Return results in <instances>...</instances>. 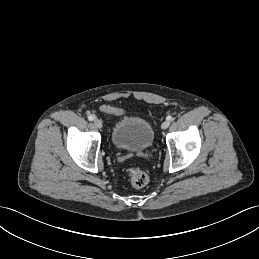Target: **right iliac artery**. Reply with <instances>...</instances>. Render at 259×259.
<instances>
[{
	"label": "right iliac artery",
	"mask_w": 259,
	"mask_h": 259,
	"mask_svg": "<svg viewBox=\"0 0 259 259\" xmlns=\"http://www.w3.org/2000/svg\"><path fill=\"white\" fill-rule=\"evenodd\" d=\"M94 119H95V116H93V115L88 116L89 121H93Z\"/></svg>",
	"instance_id": "1"
}]
</instances>
